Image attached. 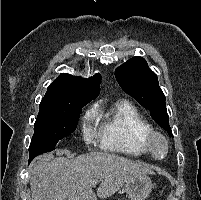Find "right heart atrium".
<instances>
[{"label":"right heart atrium","mask_w":201,"mask_h":200,"mask_svg":"<svg viewBox=\"0 0 201 200\" xmlns=\"http://www.w3.org/2000/svg\"><path fill=\"white\" fill-rule=\"evenodd\" d=\"M94 117V113L92 111L88 112L84 118V126H83V135L85 140L89 143L94 139V131L90 126V121Z\"/></svg>","instance_id":"obj_1"}]
</instances>
